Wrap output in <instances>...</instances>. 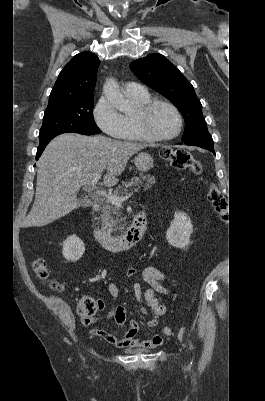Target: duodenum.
<instances>
[{
    "mask_svg": "<svg viewBox=\"0 0 265 401\" xmlns=\"http://www.w3.org/2000/svg\"><path fill=\"white\" fill-rule=\"evenodd\" d=\"M98 205L94 203L90 210L91 232L94 239L105 249L119 252L133 247L145 234L147 227L146 214L143 211L138 212L128 230L120 236H112L100 227L94 221V216Z\"/></svg>",
    "mask_w": 265,
    "mask_h": 401,
    "instance_id": "410a0bca",
    "label": "duodenum"
}]
</instances>
